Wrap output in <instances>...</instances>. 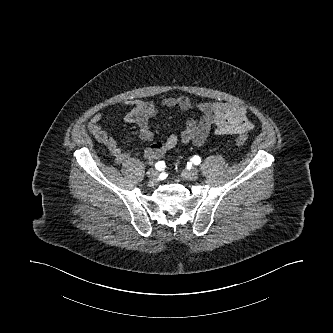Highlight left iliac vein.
Segmentation results:
<instances>
[{"instance_id": "obj_1", "label": "left iliac vein", "mask_w": 333, "mask_h": 333, "mask_svg": "<svg viewBox=\"0 0 333 333\" xmlns=\"http://www.w3.org/2000/svg\"><path fill=\"white\" fill-rule=\"evenodd\" d=\"M199 176V172L196 168H191L190 170L188 171H184L183 172V177L186 179V180H196Z\"/></svg>"}]
</instances>
